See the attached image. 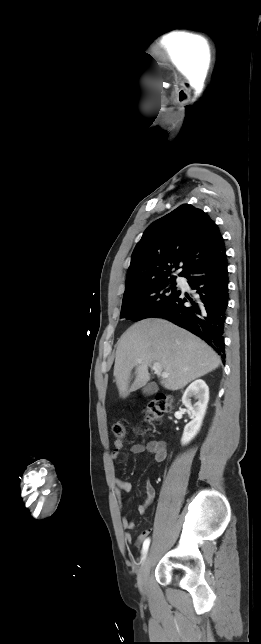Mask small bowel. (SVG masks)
<instances>
[{"mask_svg":"<svg viewBox=\"0 0 261 644\" xmlns=\"http://www.w3.org/2000/svg\"><path fill=\"white\" fill-rule=\"evenodd\" d=\"M122 448H123L122 441L116 440L114 443V449L111 453V459L113 461H116L119 459ZM129 451L132 454H142L144 452H148L153 455L154 460L156 462L164 461L167 456V448L165 443L162 441H151L146 445L141 443H135L130 447ZM114 482H115L116 489L119 493L120 492L128 493L132 489V485L128 481H124L116 477ZM145 494L146 496L144 501L141 504H139L137 507V511L139 514H143L145 512L146 508L152 502L155 496V489L153 485L148 482L145 484ZM121 524L124 529H134L136 526L135 522L132 520H129L127 517H122ZM150 533H151V529H146L142 531L138 536L135 544L136 545L141 544L143 541L149 538L148 536L150 535ZM124 538L127 542L132 541V535L129 532H126L124 534Z\"/></svg>","mask_w":261,"mask_h":644,"instance_id":"small-bowel-1","label":"small bowel"}]
</instances>
